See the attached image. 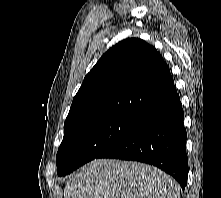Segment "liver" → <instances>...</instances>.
Masks as SVG:
<instances>
[{"label": "liver", "instance_id": "obj_1", "mask_svg": "<svg viewBox=\"0 0 221 198\" xmlns=\"http://www.w3.org/2000/svg\"><path fill=\"white\" fill-rule=\"evenodd\" d=\"M64 198H180V186L147 164L95 159L69 178Z\"/></svg>", "mask_w": 221, "mask_h": 198}]
</instances>
